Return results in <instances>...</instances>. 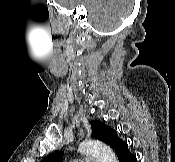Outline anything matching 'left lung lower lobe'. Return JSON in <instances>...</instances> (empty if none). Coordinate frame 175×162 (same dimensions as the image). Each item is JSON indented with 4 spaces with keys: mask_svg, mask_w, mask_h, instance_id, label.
Returning a JSON list of instances; mask_svg holds the SVG:
<instances>
[{
    "mask_svg": "<svg viewBox=\"0 0 175 162\" xmlns=\"http://www.w3.org/2000/svg\"><path fill=\"white\" fill-rule=\"evenodd\" d=\"M113 150L116 152L119 162H136V156L130 153L126 142L120 138L113 146Z\"/></svg>",
    "mask_w": 175,
    "mask_h": 162,
    "instance_id": "obj_1",
    "label": "left lung lower lobe"
}]
</instances>
